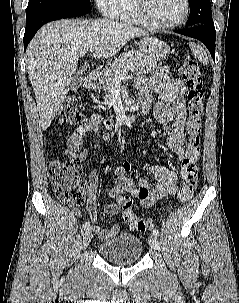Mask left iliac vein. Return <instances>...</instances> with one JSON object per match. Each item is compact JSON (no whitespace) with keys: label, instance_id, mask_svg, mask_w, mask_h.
Returning <instances> with one entry per match:
<instances>
[{"label":"left iliac vein","instance_id":"1","mask_svg":"<svg viewBox=\"0 0 239 303\" xmlns=\"http://www.w3.org/2000/svg\"><path fill=\"white\" fill-rule=\"evenodd\" d=\"M149 245L154 249V250H160V243L159 239L155 235H150L148 238Z\"/></svg>","mask_w":239,"mask_h":303}]
</instances>
